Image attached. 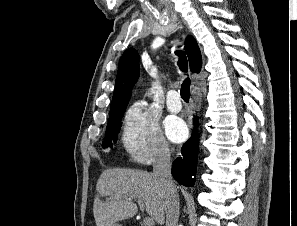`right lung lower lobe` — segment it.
I'll use <instances>...</instances> for the list:
<instances>
[{"label":"right lung lower lobe","instance_id":"right-lung-lower-lobe-1","mask_svg":"<svg viewBox=\"0 0 297 226\" xmlns=\"http://www.w3.org/2000/svg\"><path fill=\"white\" fill-rule=\"evenodd\" d=\"M181 153L182 156L173 161L172 175L180 184L192 187L195 183L198 156V135L195 130L192 137L183 144Z\"/></svg>","mask_w":297,"mask_h":226}]
</instances>
